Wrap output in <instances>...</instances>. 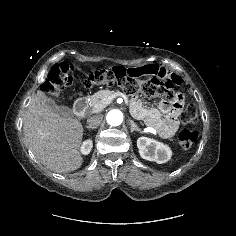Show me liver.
I'll use <instances>...</instances> for the list:
<instances>
[{"label": "liver", "mask_w": 236, "mask_h": 236, "mask_svg": "<svg viewBox=\"0 0 236 236\" xmlns=\"http://www.w3.org/2000/svg\"><path fill=\"white\" fill-rule=\"evenodd\" d=\"M23 122L26 144L45 167L57 173L81 167L83 126L80 121L60 116L43 104L38 95H33Z\"/></svg>", "instance_id": "liver-1"}]
</instances>
